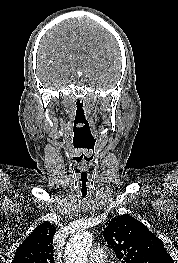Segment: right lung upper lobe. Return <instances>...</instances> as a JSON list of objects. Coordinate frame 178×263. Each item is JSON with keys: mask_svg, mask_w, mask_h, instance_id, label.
<instances>
[{"mask_svg": "<svg viewBox=\"0 0 178 263\" xmlns=\"http://www.w3.org/2000/svg\"><path fill=\"white\" fill-rule=\"evenodd\" d=\"M55 227L43 222L17 248L12 263H54L53 237Z\"/></svg>", "mask_w": 178, "mask_h": 263, "instance_id": "right-lung-upper-lobe-1", "label": "right lung upper lobe"}]
</instances>
